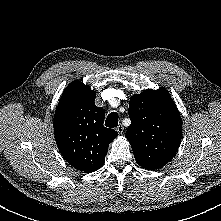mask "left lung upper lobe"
I'll return each instance as SVG.
<instances>
[{
    "instance_id": "left-lung-upper-lobe-1",
    "label": "left lung upper lobe",
    "mask_w": 221,
    "mask_h": 221,
    "mask_svg": "<svg viewBox=\"0 0 221 221\" xmlns=\"http://www.w3.org/2000/svg\"><path fill=\"white\" fill-rule=\"evenodd\" d=\"M128 112L126 137L136 162L149 170L161 168L174 157L182 138L181 117L170 94L159 88L133 95Z\"/></svg>"
}]
</instances>
